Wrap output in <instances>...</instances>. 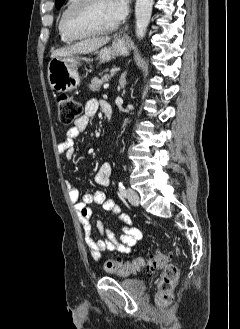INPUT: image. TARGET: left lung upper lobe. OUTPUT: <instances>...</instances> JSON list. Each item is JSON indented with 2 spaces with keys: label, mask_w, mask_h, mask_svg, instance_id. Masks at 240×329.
<instances>
[{
  "label": "left lung upper lobe",
  "mask_w": 240,
  "mask_h": 329,
  "mask_svg": "<svg viewBox=\"0 0 240 329\" xmlns=\"http://www.w3.org/2000/svg\"><path fill=\"white\" fill-rule=\"evenodd\" d=\"M64 1L65 0H56V7L60 8L63 5Z\"/></svg>",
  "instance_id": "1"
}]
</instances>
